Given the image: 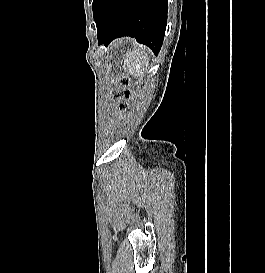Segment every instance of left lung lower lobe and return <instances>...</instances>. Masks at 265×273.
<instances>
[{
    "label": "left lung lower lobe",
    "mask_w": 265,
    "mask_h": 273,
    "mask_svg": "<svg viewBox=\"0 0 265 273\" xmlns=\"http://www.w3.org/2000/svg\"><path fill=\"white\" fill-rule=\"evenodd\" d=\"M93 7L105 12L97 27L98 45L130 36L159 53L167 24V0H93Z\"/></svg>",
    "instance_id": "1"
}]
</instances>
